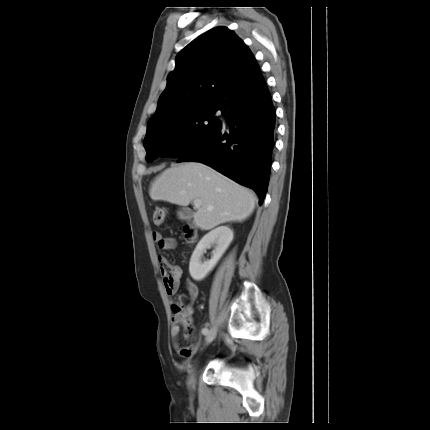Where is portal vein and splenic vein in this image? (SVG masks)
<instances>
[{"mask_svg":"<svg viewBox=\"0 0 430 430\" xmlns=\"http://www.w3.org/2000/svg\"><path fill=\"white\" fill-rule=\"evenodd\" d=\"M202 205V201L200 199H195L194 200V206L196 208H199Z\"/></svg>","mask_w":430,"mask_h":430,"instance_id":"1","label":"portal vein and splenic vein"}]
</instances>
